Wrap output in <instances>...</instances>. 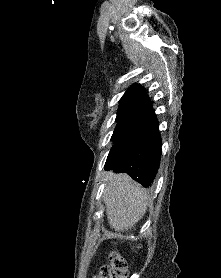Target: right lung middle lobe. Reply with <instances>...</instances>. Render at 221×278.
Returning <instances> with one entry per match:
<instances>
[{"label": "right lung middle lobe", "mask_w": 221, "mask_h": 278, "mask_svg": "<svg viewBox=\"0 0 221 278\" xmlns=\"http://www.w3.org/2000/svg\"><path fill=\"white\" fill-rule=\"evenodd\" d=\"M154 114L149 105H132L119 108L116 121L117 126L112 135L114 145L110 153L131 138Z\"/></svg>", "instance_id": "obj_1"}]
</instances>
